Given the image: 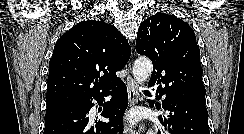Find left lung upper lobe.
Here are the masks:
<instances>
[{
	"label": "left lung upper lobe",
	"instance_id": "left-lung-upper-lobe-1",
	"mask_svg": "<svg viewBox=\"0 0 244 134\" xmlns=\"http://www.w3.org/2000/svg\"><path fill=\"white\" fill-rule=\"evenodd\" d=\"M136 51L152 60L150 86L158 85L157 91L169 97L205 104L200 50L186 22L161 12L150 16L139 27Z\"/></svg>",
	"mask_w": 244,
	"mask_h": 134
}]
</instances>
